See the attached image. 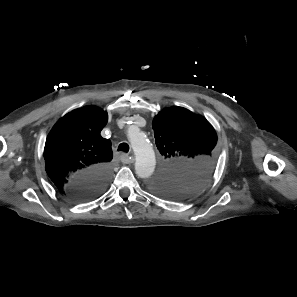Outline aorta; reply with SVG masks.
I'll return each instance as SVG.
<instances>
[{"mask_svg": "<svg viewBox=\"0 0 297 297\" xmlns=\"http://www.w3.org/2000/svg\"><path fill=\"white\" fill-rule=\"evenodd\" d=\"M135 154V172L140 178H149L156 165L155 154L146 135L139 129H133L128 134Z\"/></svg>", "mask_w": 297, "mask_h": 297, "instance_id": "1", "label": "aorta"}]
</instances>
